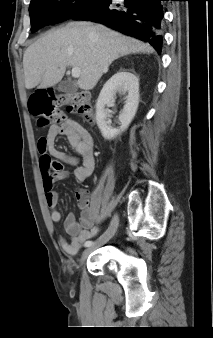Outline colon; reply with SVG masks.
Returning <instances> with one entry per match:
<instances>
[{
  "instance_id": "obj_1",
  "label": "colon",
  "mask_w": 213,
  "mask_h": 338,
  "mask_svg": "<svg viewBox=\"0 0 213 338\" xmlns=\"http://www.w3.org/2000/svg\"><path fill=\"white\" fill-rule=\"evenodd\" d=\"M28 107L30 113L41 126L49 124H62L65 120L64 108L69 111L91 119L90 97L86 93H59L35 91L31 94Z\"/></svg>"
}]
</instances>
